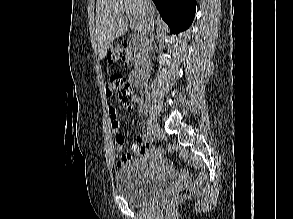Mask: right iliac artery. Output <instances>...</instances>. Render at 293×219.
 Masks as SVG:
<instances>
[{
    "label": "right iliac artery",
    "mask_w": 293,
    "mask_h": 219,
    "mask_svg": "<svg viewBox=\"0 0 293 219\" xmlns=\"http://www.w3.org/2000/svg\"><path fill=\"white\" fill-rule=\"evenodd\" d=\"M146 134H147V135H149V134H150V131H149V129H148V128L146 129Z\"/></svg>",
    "instance_id": "right-iliac-artery-1"
}]
</instances>
